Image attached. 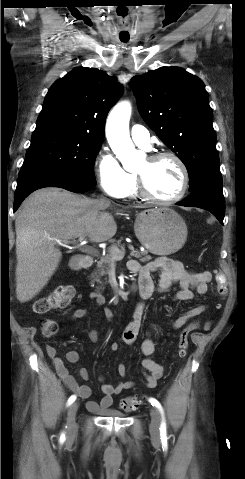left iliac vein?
<instances>
[{"label": "left iliac vein", "mask_w": 245, "mask_h": 479, "mask_svg": "<svg viewBox=\"0 0 245 479\" xmlns=\"http://www.w3.org/2000/svg\"><path fill=\"white\" fill-rule=\"evenodd\" d=\"M150 417H151V422H150V433L152 436L155 438L159 437V431H160V413L156 408H150Z\"/></svg>", "instance_id": "obj_1"}]
</instances>
